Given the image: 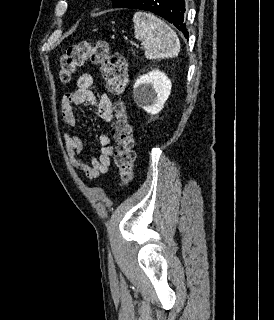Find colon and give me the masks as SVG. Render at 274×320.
Returning a JSON list of instances; mask_svg holds the SVG:
<instances>
[{"instance_id":"1","label":"colon","mask_w":274,"mask_h":320,"mask_svg":"<svg viewBox=\"0 0 274 320\" xmlns=\"http://www.w3.org/2000/svg\"><path fill=\"white\" fill-rule=\"evenodd\" d=\"M86 62L100 66L109 90L116 94L124 92L128 85L127 63L121 54L111 52L107 43H83L70 46L58 59V74L63 82H69ZM112 134L116 141L115 160L120 180L128 183L134 172L133 128L129 117L120 112L113 123Z\"/></svg>"}]
</instances>
